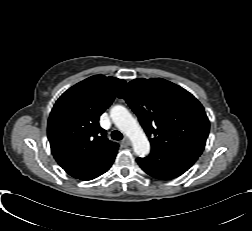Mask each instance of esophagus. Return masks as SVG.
Returning a JSON list of instances; mask_svg holds the SVG:
<instances>
[{
    "instance_id": "34e87169",
    "label": "esophagus",
    "mask_w": 252,
    "mask_h": 231,
    "mask_svg": "<svg viewBox=\"0 0 252 231\" xmlns=\"http://www.w3.org/2000/svg\"><path fill=\"white\" fill-rule=\"evenodd\" d=\"M123 144L126 145V146H129L131 144L130 139L128 137H124Z\"/></svg>"
}]
</instances>
